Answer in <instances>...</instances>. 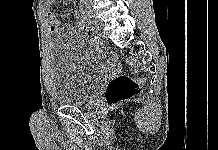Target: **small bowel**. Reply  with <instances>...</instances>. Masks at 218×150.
Segmentation results:
<instances>
[{
    "instance_id": "small-bowel-1",
    "label": "small bowel",
    "mask_w": 218,
    "mask_h": 150,
    "mask_svg": "<svg viewBox=\"0 0 218 150\" xmlns=\"http://www.w3.org/2000/svg\"><path fill=\"white\" fill-rule=\"evenodd\" d=\"M54 0H47L45 2V10L47 12V17H48V21H49V28L51 32H57L60 31L62 29L65 30H71V29H78L80 30V26L85 25L84 23H78L76 26H73L69 23H64L62 24L59 17H65L66 14H56L53 10H52V4H53ZM76 17L78 18V14H76ZM79 19V18H78ZM80 20V19H79ZM81 21V20H80ZM81 31V30H80Z\"/></svg>"
}]
</instances>
